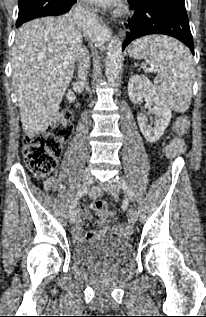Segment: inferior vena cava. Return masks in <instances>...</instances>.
Instances as JSON below:
<instances>
[{"instance_id":"1","label":"inferior vena cava","mask_w":206,"mask_h":317,"mask_svg":"<svg viewBox=\"0 0 206 317\" xmlns=\"http://www.w3.org/2000/svg\"><path fill=\"white\" fill-rule=\"evenodd\" d=\"M78 61V78L81 80L82 85H85L87 80V73L90 67V56L86 48H80L76 54Z\"/></svg>"}]
</instances>
